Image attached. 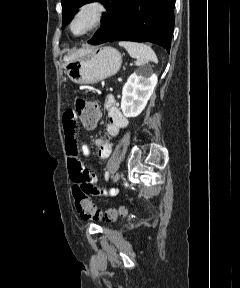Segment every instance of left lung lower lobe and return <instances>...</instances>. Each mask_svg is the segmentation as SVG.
<instances>
[{
	"label": "left lung lower lobe",
	"instance_id": "obj_1",
	"mask_svg": "<svg viewBox=\"0 0 240 288\" xmlns=\"http://www.w3.org/2000/svg\"><path fill=\"white\" fill-rule=\"evenodd\" d=\"M175 0H111L92 45L126 40L151 42L168 52L174 28Z\"/></svg>",
	"mask_w": 240,
	"mask_h": 288
}]
</instances>
